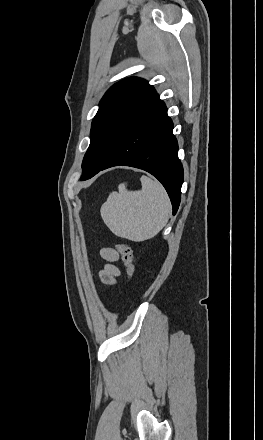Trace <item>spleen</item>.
<instances>
[{"label":"spleen","mask_w":263,"mask_h":440,"mask_svg":"<svg viewBox=\"0 0 263 440\" xmlns=\"http://www.w3.org/2000/svg\"><path fill=\"white\" fill-rule=\"evenodd\" d=\"M142 189L128 191L126 183L118 186L101 207V217L116 235L140 242L157 235L167 224L171 203L164 187L145 175Z\"/></svg>","instance_id":"obj_1"}]
</instances>
